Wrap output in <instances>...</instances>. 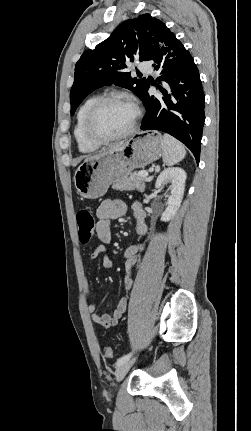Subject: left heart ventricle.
<instances>
[{"mask_svg": "<svg viewBox=\"0 0 251 431\" xmlns=\"http://www.w3.org/2000/svg\"><path fill=\"white\" fill-rule=\"evenodd\" d=\"M135 116L134 107L125 101H111L101 107L94 122V131L101 136H114L126 131Z\"/></svg>", "mask_w": 251, "mask_h": 431, "instance_id": "obj_1", "label": "left heart ventricle"}]
</instances>
